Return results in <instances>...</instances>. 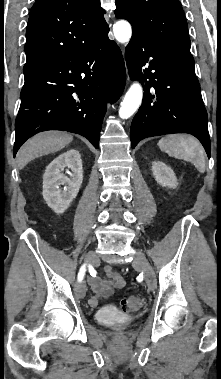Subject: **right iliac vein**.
Here are the masks:
<instances>
[{
  "mask_svg": "<svg viewBox=\"0 0 221 379\" xmlns=\"http://www.w3.org/2000/svg\"><path fill=\"white\" fill-rule=\"evenodd\" d=\"M85 261L90 264H94L97 261V255L94 251L87 253ZM78 298H84L86 294V286L84 282H79L75 288Z\"/></svg>",
  "mask_w": 221,
  "mask_h": 379,
  "instance_id": "right-iliac-vein-1",
  "label": "right iliac vein"
}]
</instances>
